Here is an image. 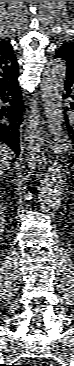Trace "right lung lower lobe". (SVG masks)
Returning <instances> with one entry per match:
<instances>
[{"instance_id": "1", "label": "right lung lower lobe", "mask_w": 74, "mask_h": 366, "mask_svg": "<svg viewBox=\"0 0 74 366\" xmlns=\"http://www.w3.org/2000/svg\"><path fill=\"white\" fill-rule=\"evenodd\" d=\"M25 106L18 81L0 87V143L7 144L16 158L20 154V126L24 121Z\"/></svg>"}]
</instances>
